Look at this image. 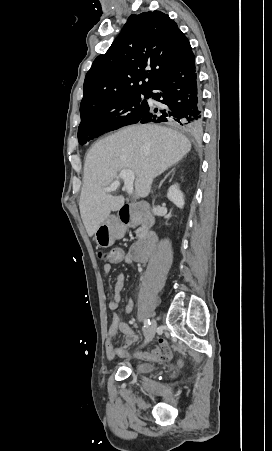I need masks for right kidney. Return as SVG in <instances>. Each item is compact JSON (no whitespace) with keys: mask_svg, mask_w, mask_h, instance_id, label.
Returning <instances> with one entry per match:
<instances>
[{"mask_svg":"<svg viewBox=\"0 0 272 451\" xmlns=\"http://www.w3.org/2000/svg\"><path fill=\"white\" fill-rule=\"evenodd\" d=\"M167 198L170 200V202H173L177 208H183L185 202H184V196L179 190L178 184H174V186H170L168 192H167Z\"/></svg>","mask_w":272,"mask_h":451,"instance_id":"ca27d5eb","label":"right kidney"}]
</instances>
